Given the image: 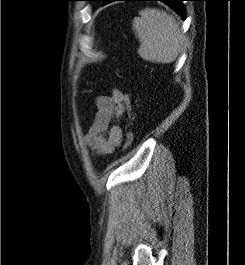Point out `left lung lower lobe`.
<instances>
[{
  "label": "left lung lower lobe",
  "instance_id": "left-lung-lower-lobe-1",
  "mask_svg": "<svg viewBox=\"0 0 245 265\" xmlns=\"http://www.w3.org/2000/svg\"><path fill=\"white\" fill-rule=\"evenodd\" d=\"M113 1H162L172 7L176 12H178L183 19H185V10L181 1H190V0H105L102 5Z\"/></svg>",
  "mask_w": 245,
  "mask_h": 265
}]
</instances>
